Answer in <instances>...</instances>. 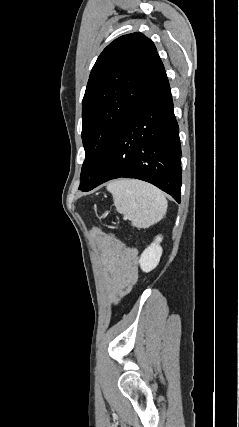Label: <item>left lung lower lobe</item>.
Listing matches in <instances>:
<instances>
[{"instance_id": "1", "label": "left lung lower lobe", "mask_w": 239, "mask_h": 427, "mask_svg": "<svg viewBox=\"0 0 239 427\" xmlns=\"http://www.w3.org/2000/svg\"><path fill=\"white\" fill-rule=\"evenodd\" d=\"M181 147L168 79L129 117L114 139L90 191L112 179L136 178L154 184L180 203Z\"/></svg>"}]
</instances>
